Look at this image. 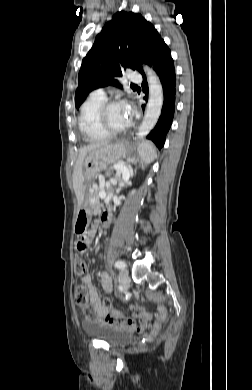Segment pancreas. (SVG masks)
<instances>
[{
	"label": "pancreas",
	"mask_w": 252,
	"mask_h": 390,
	"mask_svg": "<svg viewBox=\"0 0 252 390\" xmlns=\"http://www.w3.org/2000/svg\"><path fill=\"white\" fill-rule=\"evenodd\" d=\"M89 202L93 207V210H92L93 216L99 217L101 214V210H102L103 205L100 202H92L91 197H89Z\"/></svg>",
	"instance_id": "pancreas-1"
}]
</instances>
